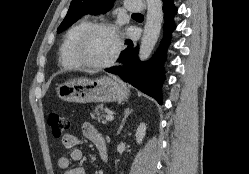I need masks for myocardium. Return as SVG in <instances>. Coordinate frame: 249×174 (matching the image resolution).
Wrapping results in <instances>:
<instances>
[{
    "instance_id": "obj_1",
    "label": "myocardium",
    "mask_w": 249,
    "mask_h": 174,
    "mask_svg": "<svg viewBox=\"0 0 249 174\" xmlns=\"http://www.w3.org/2000/svg\"><path fill=\"white\" fill-rule=\"evenodd\" d=\"M99 29L108 30L112 34H114L115 39H116V49L109 60L103 63L95 64V63H90L87 60H85V58L82 55V47L88 35L92 33L93 31L99 30ZM121 51H122V40H121L119 31L116 28V26H114L111 23H107V22H97V23L88 24L83 29V31L80 33L78 38L76 39L74 47H73V53L79 65L81 67L92 69V70H101V69H106V68L111 67L118 60Z\"/></svg>"
}]
</instances>
